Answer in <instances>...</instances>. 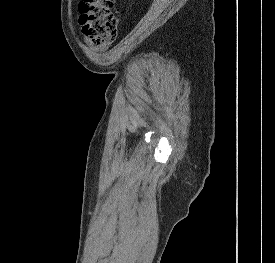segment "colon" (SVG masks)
<instances>
[{
  "mask_svg": "<svg viewBox=\"0 0 275 263\" xmlns=\"http://www.w3.org/2000/svg\"><path fill=\"white\" fill-rule=\"evenodd\" d=\"M115 0H81L80 23L83 34L94 44L108 45L118 35V19L114 14Z\"/></svg>",
  "mask_w": 275,
  "mask_h": 263,
  "instance_id": "colon-1",
  "label": "colon"
}]
</instances>
